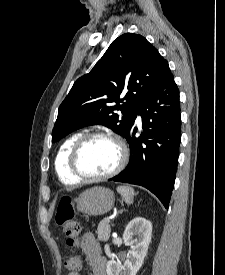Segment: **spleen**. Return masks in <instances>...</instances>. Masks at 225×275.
<instances>
[{"instance_id": "1", "label": "spleen", "mask_w": 225, "mask_h": 275, "mask_svg": "<svg viewBox=\"0 0 225 275\" xmlns=\"http://www.w3.org/2000/svg\"><path fill=\"white\" fill-rule=\"evenodd\" d=\"M117 192L121 195L122 199L127 203V204H132L133 203V198L135 195L134 189L130 186H118L117 187Z\"/></svg>"}]
</instances>
